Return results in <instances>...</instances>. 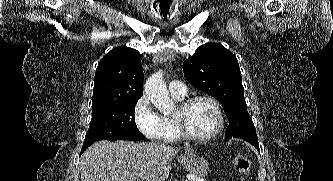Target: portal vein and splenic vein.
Segmentation results:
<instances>
[{"label":"portal vein and splenic vein","mask_w":333,"mask_h":181,"mask_svg":"<svg viewBox=\"0 0 333 181\" xmlns=\"http://www.w3.org/2000/svg\"><path fill=\"white\" fill-rule=\"evenodd\" d=\"M191 181H204V180H202V179L192 178Z\"/></svg>","instance_id":"obj_1"}]
</instances>
